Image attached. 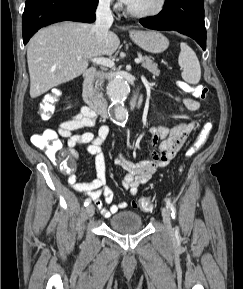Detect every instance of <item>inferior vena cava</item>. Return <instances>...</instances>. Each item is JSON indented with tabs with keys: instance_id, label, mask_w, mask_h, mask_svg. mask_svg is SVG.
I'll use <instances>...</instances> for the list:
<instances>
[{
	"instance_id": "inferior-vena-cava-1",
	"label": "inferior vena cava",
	"mask_w": 243,
	"mask_h": 289,
	"mask_svg": "<svg viewBox=\"0 0 243 289\" xmlns=\"http://www.w3.org/2000/svg\"><path fill=\"white\" fill-rule=\"evenodd\" d=\"M110 2L111 0H99V4L96 9V22L94 25V31L99 43L106 39L108 30L113 23V16L110 10Z\"/></svg>"
}]
</instances>
